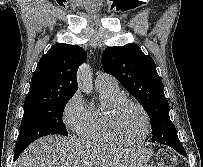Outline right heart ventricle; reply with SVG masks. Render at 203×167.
Wrapping results in <instances>:
<instances>
[{"instance_id": "1", "label": "right heart ventricle", "mask_w": 203, "mask_h": 167, "mask_svg": "<svg viewBox=\"0 0 203 167\" xmlns=\"http://www.w3.org/2000/svg\"><path fill=\"white\" fill-rule=\"evenodd\" d=\"M101 104L98 107L87 108L85 120L78 132L79 136L90 142L116 143L106 133L104 117L112 102L119 96H124L118 85L97 87Z\"/></svg>"}]
</instances>
